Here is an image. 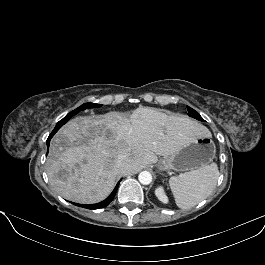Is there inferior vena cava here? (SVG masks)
I'll list each match as a JSON object with an SVG mask.
<instances>
[{"instance_id": "1", "label": "inferior vena cava", "mask_w": 265, "mask_h": 265, "mask_svg": "<svg viewBox=\"0 0 265 265\" xmlns=\"http://www.w3.org/2000/svg\"><path fill=\"white\" fill-rule=\"evenodd\" d=\"M125 164L123 163V157H119L118 159V167L124 168Z\"/></svg>"}]
</instances>
